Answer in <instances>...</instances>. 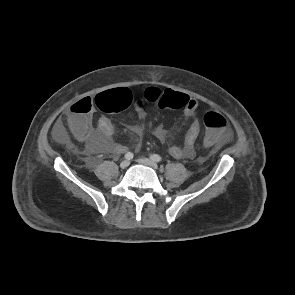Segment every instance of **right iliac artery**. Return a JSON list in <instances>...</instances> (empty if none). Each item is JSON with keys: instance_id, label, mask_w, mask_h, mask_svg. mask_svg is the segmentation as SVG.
<instances>
[{"instance_id": "1", "label": "right iliac artery", "mask_w": 295, "mask_h": 295, "mask_svg": "<svg viewBox=\"0 0 295 295\" xmlns=\"http://www.w3.org/2000/svg\"><path fill=\"white\" fill-rule=\"evenodd\" d=\"M133 157H134V155H133L132 152H127V153L125 154V159H126V160H131V159H133Z\"/></svg>"}]
</instances>
